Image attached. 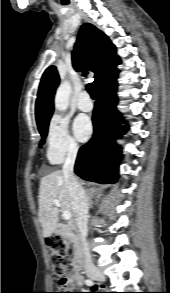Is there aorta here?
<instances>
[{
	"label": "aorta",
	"mask_w": 170,
	"mask_h": 293,
	"mask_svg": "<svg viewBox=\"0 0 170 293\" xmlns=\"http://www.w3.org/2000/svg\"><path fill=\"white\" fill-rule=\"evenodd\" d=\"M71 93V85L65 81L60 84L55 95V108L59 111H65L69 105V96Z\"/></svg>",
	"instance_id": "obj_1"
}]
</instances>
